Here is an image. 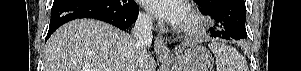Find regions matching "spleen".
I'll use <instances>...</instances> for the list:
<instances>
[{
	"mask_svg": "<svg viewBox=\"0 0 301 71\" xmlns=\"http://www.w3.org/2000/svg\"><path fill=\"white\" fill-rule=\"evenodd\" d=\"M208 46L216 59V71H249L243 55L231 45L212 42Z\"/></svg>",
	"mask_w": 301,
	"mask_h": 71,
	"instance_id": "obj_1",
	"label": "spleen"
}]
</instances>
